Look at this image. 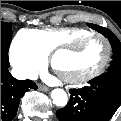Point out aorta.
<instances>
[{
  "label": "aorta",
  "instance_id": "1",
  "mask_svg": "<svg viewBox=\"0 0 121 121\" xmlns=\"http://www.w3.org/2000/svg\"><path fill=\"white\" fill-rule=\"evenodd\" d=\"M51 98L53 100V103L59 107L66 106V104L68 102V97H67L66 92L60 88L54 89L51 92Z\"/></svg>",
  "mask_w": 121,
  "mask_h": 121
}]
</instances>
